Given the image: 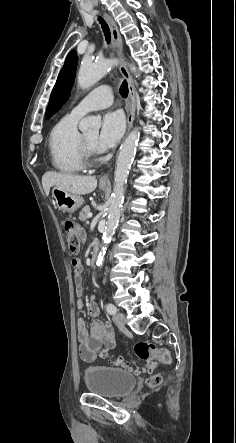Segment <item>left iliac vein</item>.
Wrapping results in <instances>:
<instances>
[{
  "mask_svg": "<svg viewBox=\"0 0 236 443\" xmlns=\"http://www.w3.org/2000/svg\"><path fill=\"white\" fill-rule=\"evenodd\" d=\"M113 321L119 328L125 327V315L123 313H116L113 315Z\"/></svg>",
  "mask_w": 236,
  "mask_h": 443,
  "instance_id": "obj_1",
  "label": "left iliac vein"
}]
</instances>
